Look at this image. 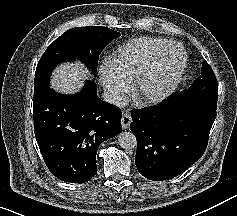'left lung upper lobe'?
<instances>
[{
  "label": "left lung upper lobe",
  "instance_id": "5c2ea615",
  "mask_svg": "<svg viewBox=\"0 0 237 216\" xmlns=\"http://www.w3.org/2000/svg\"><path fill=\"white\" fill-rule=\"evenodd\" d=\"M179 94L207 103L211 106H216L218 99V83L213 70L205 60L202 64L201 75L188 89Z\"/></svg>",
  "mask_w": 237,
  "mask_h": 216
}]
</instances>
